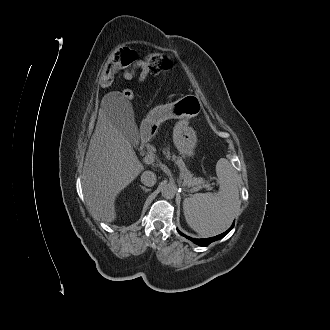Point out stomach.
<instances>
[{"mask_svg":"<svg viewBox=\"0 0 330 330\" xmlns=\"http://www.w3.org/2000/svg\"><path fill=\"white\" fill-rule=\"evenodd\" d=\"M203 109L199 97L189 94L179 98L164 108L168 118H177L179 122L173 130V142L183 157H189L196 147L197 136L193 128L188 126L189 119L198 116ZM158 112L154 113L149 123V131L157 125Z\"/></svg>","mask_w":330,"mask_h":330,"instance_id":"1","label":"stomach"}]
</instances>
